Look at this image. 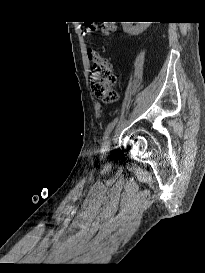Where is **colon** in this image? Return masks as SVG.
<instances>
[{"label":"colon","mask_w":205,"mask_h":273,"mask_svg":"<svg viewBox=\"0 0 205 273\" xmlns=\"http://www.w3.org/2000/svg\"><path fill=\"white\" fill-rule=\"evenodd\" d=\"M114 28V22L106 20L101 23V30L104 33H110ZM91 25H86L85 31H92ZM88 57L91 62L90 88L95 98L105 103H111L116 100L115 91L116 76L113 74L110 63L107 58L102 56L97 50L90 49Z\"/></svg>","instance_id":"5ec220e1"}]
</instances>
